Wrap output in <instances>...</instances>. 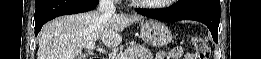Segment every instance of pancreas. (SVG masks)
Here are the masks:
<instances>
[{
    "mask_svg": "<svg viewBox=\"0 0 261 59\" xmlns=\"http://www.w3.org/2000/svg\"><path fill=\"white\" fill-rule=\"evenodd\" d=\"M127 59H153L152 52L142 45H132L127 47L123 54Z\"/></svg>",
    "mask_w": 261,
    "mask_h": 59,
    "instance_id": "cf45deb5",
    "label": "pancreas"
}]
</instances>
